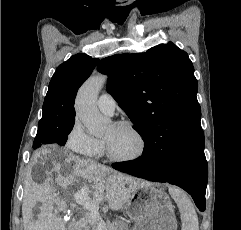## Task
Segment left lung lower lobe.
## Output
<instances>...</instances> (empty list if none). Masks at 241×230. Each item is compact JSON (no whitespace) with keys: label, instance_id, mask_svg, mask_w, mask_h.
Instances as JSON below:
<instances>
[{"label":"left lung lower lobe","instance_id":"0a47b994","mask_svg":"<svg viewBox=\"0 0 241 230\" xmlns=\"http://www.w3.org/2000/svg\"><path fill=\"white\" fill-rule=\"evenodd\" d=\"M112 167L154 182H168L187 191L200 211L205 210L208 166L204 146L172 152L160 140L146 143L140 158Z\"/></svg>","mask_w":241,"mask_h":230}]
</instances>
